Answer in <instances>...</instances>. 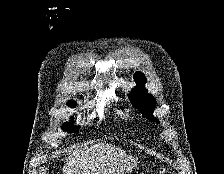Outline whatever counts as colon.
<instances>
[{"instance_id": "colon-1", "label": "colon", "mask_w": 224, "mask_h": 174, "mask_svg": "<svg viewBox=\"0 0 224 174\" xmlns=\"http://www.w3.org/2000/svg\"><path fill=\"white\" fill-rule=\"evenodd\" d=\"M159 174H165V172L164 171H160V173Z\"/></svg>"}]
</instances>
